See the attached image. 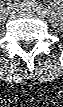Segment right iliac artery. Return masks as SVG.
<instances>
[{
    "instance_id": "1",
    "label": "right iliac artery",
    "mask_w": 63,
    "mask_h": 107,
    "mask_svg": "<svg viewBox=\"0 0 63 107\" xmlns=\"http://www.w3.org/2000/svg\"><path fill=\"white\" fill-rule=\"evenodd\" d=\"M10 6H12V4L10 2L7 3V9L10 8Z\"/></svg>"
}]
</instances>
